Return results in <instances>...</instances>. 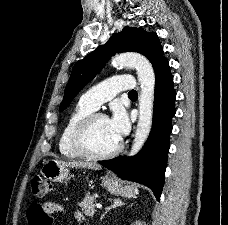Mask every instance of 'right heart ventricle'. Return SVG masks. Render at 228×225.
I'll use <instances>...</instances> for the list:
<instances>
[{
    "label": "right heart ventricle",
    "mask_w": 228,
    "mask_h": 225,
    "mask_svg": "<svg viewBox=\"0 0 228 225\" xmlns=\"http://www.w3.org/2000/svg\"><path fill=\"white\" fill-rule=\"evenodd\" d=\"M94 110L80 101L70 112L67 121L59 137L58 147L62 156L70 159L84 158L85 156L76 151L72 145V135L78 123Z\"/></svg>",
    "instance_id": "e07e8e85"
}]
</instances>
